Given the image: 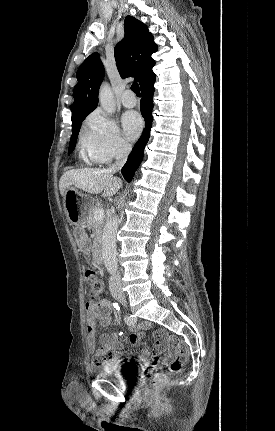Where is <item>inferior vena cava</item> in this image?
<instances>
[{
	"label": "inferior vena cava",
	"instance_id": "obj_1",
	"mask_svg": "<svg viewBox=\"0 0 275 431\" xmlns=\"http://www.w3.org/2000/svg\"><path fill=\"white\" fill-rule=\"evenodd\" d=\"M130 151H131V145L127 143H122L116 153V157H115L116 162L111 166L109 170L111 172H116L121 170V168L123 167V165L127 160V157ZM109 288L111 291H115V290L121 291L122 284H121V276L119 272H114L111 274L110 281H109Z\"/></svg>",
	"mask_w": 275,
	"mask_h": 431
}]
</instances>
